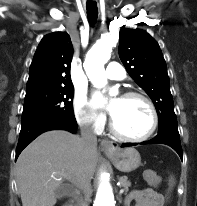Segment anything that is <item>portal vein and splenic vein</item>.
Returning <instances> with one entry per match:
<instances>
[{
    "mask_svg": "<svg viewBox=\"0 0 197 206\" xmlns=\"http://www.w3.org/2000/svg\"><path fill=\"white\" fill-rule=\"evenodd\" d=\"M69 180H71L70 178H68ZM124 192V190L123 189H121L120 190V194H122Z\"/></svg>",
    "mask_w": 197,
    "mask_h": 206,
    "instance_id": "1",
    "label": "portal vein and splenic vein"
}]
</instances>
